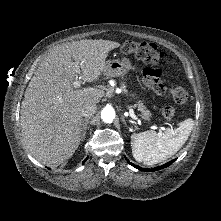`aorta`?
Listing matches in <instances>:
<instances>
[{"label":"aorta","mask_w":221,"mask_h":221,"mask_svg":"<svg viewBox=\"0 0 221 221\" xmlns=\"http://www.w3.org/2000/svg\"><path fill=\"white\" fill-rule=\"evenodd\" d=\"M101 118L105 123H112L115 118V110L112 107L106 106L101 111Z\"/></svg>","instance_id":"762f6f07"}]
</instances>
